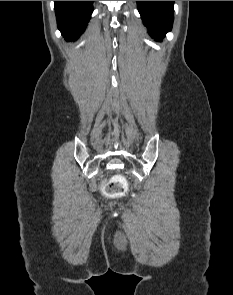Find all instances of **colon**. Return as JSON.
I'll use <instances>...</instances> for the list:
<instances>
[{
    "mask_svg": "<svg viewBox=\"0 0 233 295\" xmlns=\"http://www.w3.org/2000/svg\"><path fill=\"white\" fill-rule=\"evenodd\" d=\"M127 191V182L124 177L116 176L105 186V192L109 196H123Z\"/></svg>",
    "mask_w": 233,
    "mask_h": 295,
    "instance_id": "5ec220e1",
    "label": "colon"
}]
</instances>
